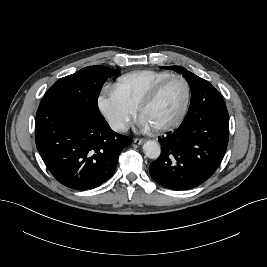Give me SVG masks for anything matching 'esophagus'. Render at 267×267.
<instances>
[{
  "label": "esophagus",
  "mask_w": 267,
  "mask_h": 267,
  "mask_svg": "<svg viewBox=\"0 0 267 267\" xmlns=\"http://www.w3.org/2000/svg\"><path fill=\"white\" fill-rule=\"evenodd\" d=\"M133 141H134V143L140 145V144H142L145 140L142 139V138H135Z\"/></svg>",
  "instance_id": "34e87169"
}]
</instances>
